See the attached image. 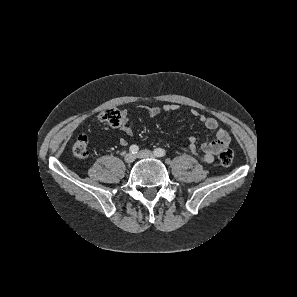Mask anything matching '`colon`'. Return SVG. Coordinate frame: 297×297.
Here are the masks:
<instances>
[{
  "instance_id": "5ec220e1",
  "label": "colon",
  "mask_w": 297,
  "mask_h": 297,
  "mask_svg": "<svg viewBox=\"0 0 297 297\" xmlns=\"http://www.w3.org/2000/svg\"><path fill=\"white\" fill-rule=\"evenodd\" d=\"M123 112L119 109H108L103 111L99 115V119L112 126L118 127L121 126L123 123ZM72 151L75 157L77 158H85L89 154V140L86 135H79L72 147ZM219 162L222 166L228 167L232 164L234 159V153L231 149H224L219 153Z\"/></svg>"
}]
</instances>
